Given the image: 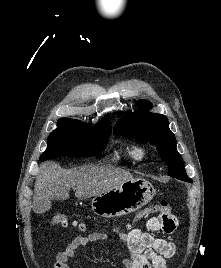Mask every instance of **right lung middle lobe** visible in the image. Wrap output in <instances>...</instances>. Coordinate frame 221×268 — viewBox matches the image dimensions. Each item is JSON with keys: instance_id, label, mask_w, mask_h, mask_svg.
<instances>
[{"instance_id": "right-lung-middle-lobe-1", "label": "right lung middle lobe", "mask_w": 221, "mask_h": 268, "mask_svg": "<svg viewBox=\"0 0 221 268\" xmlns=\"http://www.w3.org/2000/svg\"><path fill=\"white\" fill-rule=\"evenodd\" d=\"M111 127L85 124L70 118H61L55 129L48 137L46 151L40 160L60 156L86 157L100 155L108 142Z\"/></svg>"}]
</instances>
